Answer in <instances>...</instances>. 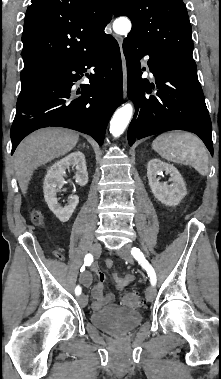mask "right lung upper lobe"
<instances>
[{"instance_id": "1", "label": "right lung upper lobe", "mask_w": 221, "mask_h": 379, "mask_svg": "<svg viewBox=\"0 0 221 379\" xmlns=\"http://www.w3.org/2000/svg\"><path fill=\"white\" fill-rule=\"evenodd\" d=\"M110 0H31L22 35L23 78L86 54L108 37Z\"/></svg>"}]
</instances>
